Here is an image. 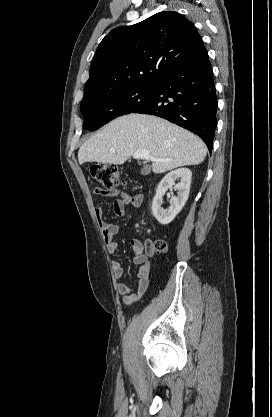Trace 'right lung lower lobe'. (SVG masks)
<instances>
[{"mask_svg": "<svg viewBox=\"0 0 272 417\" xmlns=\"http://www.w3.org/2000/svg\"><path fill=\"white\" fill-rule=\"evenodd\" d=\"M155 84L153 96L132 113L159 116L188 129L197 134L211 152L217 101L206 49Z\"/></svg>", "mask_w": 272, "mask_h": 417, "instance_id": "98d812e1", "label": "right lung lower lobe"}]
</instances>
